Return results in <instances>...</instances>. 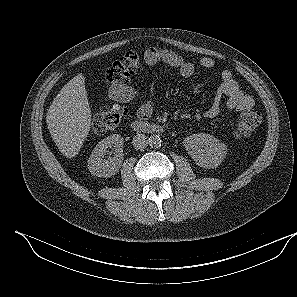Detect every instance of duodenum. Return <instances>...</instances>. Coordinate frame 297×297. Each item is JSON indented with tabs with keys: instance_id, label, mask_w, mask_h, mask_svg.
I'll return each mask as SVG.
<instances>
[{
	"instance_id": "duodenum-1",
	"label": "duodenum",
	"mask_w": 297,
	"mask_h": 297,
	"mask_svg": "<svg viewBox=\"0 0 297 297\" xmlns=\"http://www.w3.org/2000/svg\"><path fill=\"white\" fill-rule=\"evenodd\" d=\"M131 127L134 131L139 133H154L160 134L164 131V127L157 123L144 122L142 120H135Z\"/></svg>"
}]
</instances>
